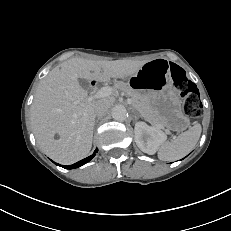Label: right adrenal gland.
Masks as SVG:
<instances>
[{"label": "right adrenal gland", "instance_id": "obj_1", "mask_svg": "<svg viewBox=\"0 0 231 231\" xmlns=\"http://www.w3.org/2000/svg\"><path fill=\"white\" fill-rule=\"evenodd\" d=\"M99 119H100V118H98V119L96 120L95 125L97 124V122H98Z\"/></svg>", "mask_w": 231, "mask_h": 231}]
</instances>
